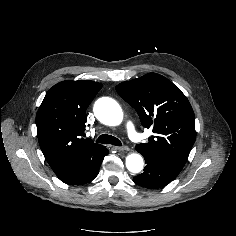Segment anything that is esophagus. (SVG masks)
I'll use <instances>...</instances> for the list:
<instances>
[{"instance_id": "obj_1", "label": "esophagus", "mask_w": 236, "mask_h": 236, "mask_svg": "<svg viewBox=\"0 0 236 236\" xmlns=\"http://www.w3.org/2000/svg\"><path fill=\"white\" fill-rule=\"evenodd\" d=\"M114 149L118 150V151H128L129 150V148L127 146H121V147L115 146Z\"/></svg>"}]
</instances>
